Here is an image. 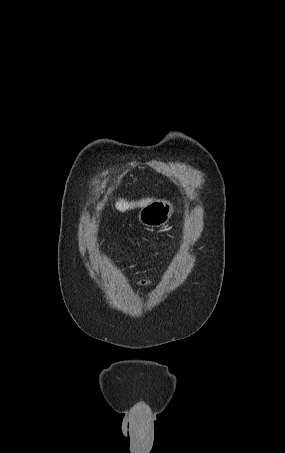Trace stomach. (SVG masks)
<instances>
[{
  "instance_id": "0dacf381",
  "label": "stomach",
  "mask_w": 285,
  "mask_h": 453,
  "mask_svg": "<svg viewBox=\"0 0 285 453\" xmlns=\"http://www.w3.org/2000/svg\"><path fill=\"white\" fill-rule=\"evenodd\" d=\"M173 205L168 200H153L143 206L138 214L141 224L150 228L162 227L171 218Z\"/></svg>"
}]
</instances>
